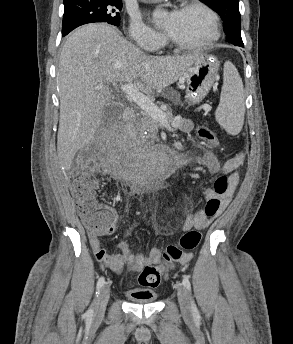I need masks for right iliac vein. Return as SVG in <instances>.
I'll use <instances>...</instances> for the list:
<instances>
[{
	"instance_id": "right-iliac-vein-1",
	"label": "right iliac vein",
	"mask_w": 293,
	"mask_h": 344,
	"mask_svg": "<svg viewBox=\"0 0 293 344\" xmlns=\"http://www.w3.org/2000/svg\"><path fill=\"white\" fill-rule=\"evenodd\" d=\"M109 297H110V286L105 285L101 289L100 295L98 298V302H97V306H96V310H95V318L96 319H100L103 317L105 310H106V306H107Z\"/></svg>"
}]
</instances>
